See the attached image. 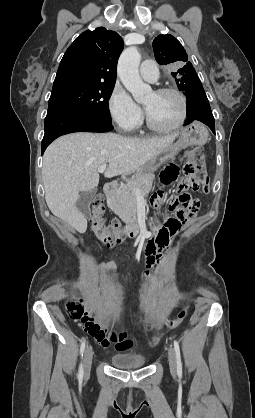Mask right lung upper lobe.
<instances>
[{
  "label": "right lung upper lobe",
  "mask_w": 255,
  "mask_h": 418,
  "mask_svg": "<svg viewBox=\"0 0 255 418\" xmlns=\"http://www.w3.org/2000/svg\"><path fill=\"white\" fill-rule=\"evenodd\" d=\"M123 40L114 31L98 27L83 32L65 52L55 84L68 81L115 83Z\"/></svg>",
  "instance_id": "obj_1"
}]
</instances>
